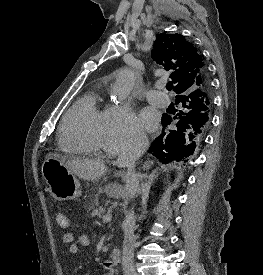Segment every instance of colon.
<instances>
[{"label":"colon","instance_id":"colon-1","mask_svg":"<svg viewBox=\"0 0 263 275\" xmlns=\"http://www.w3.org/2000/svg\"><path fill=\"white\" fill-rule=\"evenodd\" d=\"M56 221L57 224L62 228V229H68L70 226V220L68 218V216L63 213V212H59L56 215ZM69 232H65L63 235H65L66 239H69V236L67 235Z\"/></svg>","mask_w":263,"mask_h":275}]
</instances>
